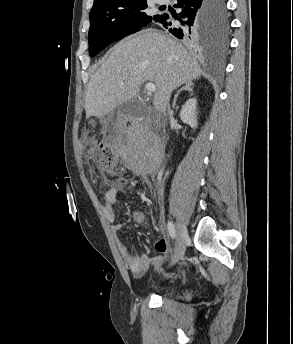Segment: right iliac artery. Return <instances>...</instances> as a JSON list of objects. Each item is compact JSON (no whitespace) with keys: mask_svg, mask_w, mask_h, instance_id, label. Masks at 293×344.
Wrapping results in <instances>:
<instances>
[{"mask_svg":"<svg viewBox=\"0 0 293 344\" xmlns=\"http://www.w3.org/2000/svg\"><path fill=\"white\" fill-rule=\"evenodd\" d=\"M167 229L171 238L174 239L176 237V229H175L174 224L172 222H168Z\"/></svg>","mask_w":293,"mask_h":344,"instance_id":"right-iliac-artery-1","label":"right iliac artery"}]
</instances>
